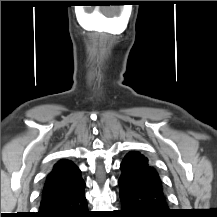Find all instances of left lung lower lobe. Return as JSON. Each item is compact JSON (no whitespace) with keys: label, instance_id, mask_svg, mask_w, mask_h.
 Wrapping results in <instances>:
<instances>
[{"label":"left lung lower lobe","instance_id":"0a47b994","mask_svg":"<svg viewBox=\"0 0 217 217\" xmlns=\"http://www.w3.org/2000/svg\"><path fill=\"white\" fill-rule=\"evenodd\" d=\"M121 170L119 196L125 217H170L171 210L163 188L135 181L124 165Z\"/></svg>","mask_w":217,"mask_h":217}]
</instances>
